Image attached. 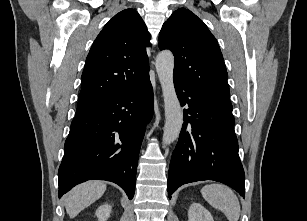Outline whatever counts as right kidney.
Here are the masks:
<instances>
[{"mask_svg": "<svg viewBox=\"0 0 307 221\" xmlns=\"http://www.w3.org/2000/svg\"><path fill=\"white\" fill-rule=\"evenodd\" d=\"M111 209L112 207L109 204H104L100 206L96 211L98 221H106L110 216Z\"/></svg>", "mask_w": 307, "mask_h": 221, "instance_id": "right-kidney-1", "label": "right kidney"}]
</instances>
